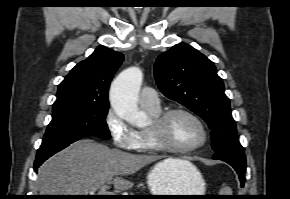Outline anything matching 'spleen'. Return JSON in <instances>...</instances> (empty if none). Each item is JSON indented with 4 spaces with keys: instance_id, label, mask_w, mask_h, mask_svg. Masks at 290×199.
I'll return each instance as SVG.
<instances>
[{
    "instance_id": "3e777b00",
    "label": "spleen",
    "mask_w": 290,
    "mask_h": 199,
    "mask_svg": "<svg viewBox=\"0 0 290 199\" xmlns=\"http://www.w3.org/2000/svg\"><path fill=\"white\" fill-rule=\"evenodd\" d=\"M220 195H232V190L228 186H223L220 190Z\"/></svg>"
}]
</instances>
